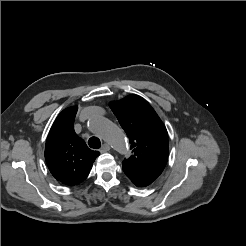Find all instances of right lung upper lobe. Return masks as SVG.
Wrapping results in <instances>:
<instances>
[{"label":"right lung upper lobe","mask_w":246,"mask_h":246,"mask_svg":"<svg viewBox=\"0 0 246 246\" xmlns=\"http://www.w3.org/2000/svg\"><path fill=\"white\" fill-rule=\"evenodd\" d=\"M77 107L64 109L54 121L46 140L45 159L53 177L66 185H78L88 176L98 151L87 147L74 131Z\"/></svg>","instance_id":"obj_1"}]
</instances>
